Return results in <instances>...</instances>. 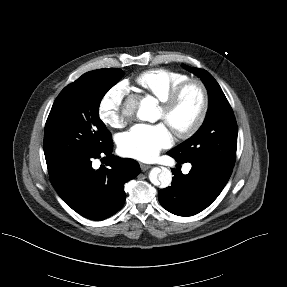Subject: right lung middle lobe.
<instances>
[{
    "instance_id": "1",
    "label": "right lung middle lobe",
    "mask_w": 287,
    "mask_h": 287,
    "mask_svg": "<svg viewBox=\"0 0 287 287\" xmlns=\"http://www.w3.org/2000/svg\"><path fill=\"white\" fill-rule=\"evenodd\" d=\"M123 75L114 68L90 71L61 91L45 125L47 166L100 150L111 141L98 110L103 96Z\"/></svg>"
}]
</instances>
